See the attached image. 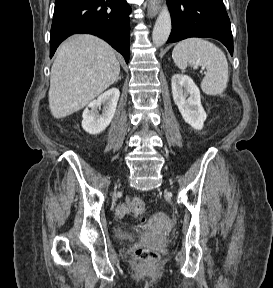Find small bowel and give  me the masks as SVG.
Wrapping results in <instances>:
<instances>
[{"mask_svg":"<svg viewBox=\"0 0 273 288\" xmlns=\"http://www.w3.org/2000/svg\"><path fill=\"white\" fill-rule=\"evenodd\" d=\"M131 211L130 209V200L127 199V202L124 204H120L116 207V215L118 217H124L126 214H128Z\"/></svg>","mask_w":273,"mask_h":288,"instance_id":"obj_1","label":"small bowel"}]
</instances>
